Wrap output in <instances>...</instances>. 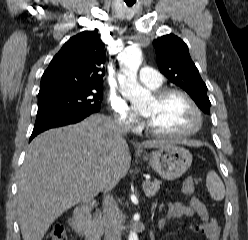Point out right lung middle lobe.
Returning <instances> with one entry per match:
<instances>
[{
    "label": "right lung middle lobe",
    "instance_id": "obj_1",
    "mask_svg": "<svg viewBox=\"0 0 248 240\" xmlns=\"http://www.w3.org/2000/svg\"><path fill=\"white\" fill-rule=\"evenodd\" d=\"M102 89L67 90L38 95V111L65 110L96 113L100 110Z\"/></svg>",
    "mask_w": 248,
    "mask_h": 240
}]
</instances>
